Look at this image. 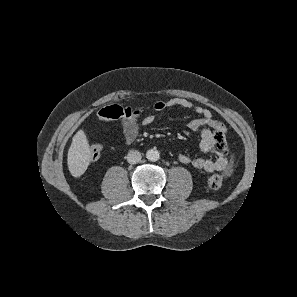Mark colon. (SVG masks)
Wrapping results in <instances>:
<instances>
[{
    "label": "colon",
    "instance_id": "1",
    "mask_svg": "<svg viewBox=\"0 0 297 297\" xmlns=\"http://www.w3.org/2000/svg\"><path fill=\"white\" fill-rule=\"evenodd\" d=\"M136 109L122 104H114L100 110L99 116L103 120H114L123 117H129L135 113ZM212 150L215 154L223 156L227 153V141L222 131H216L213 137ZM102 153V146L95 144L90 147L91 160H97ZM223 177L220 174H214L209 177L208 185L211 189H218L222 186Z\"/></svg>",
    "mask_w": 297,
    "mask_h": 297
}]
</instances>
